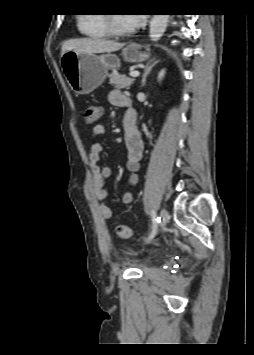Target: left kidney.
Listing matches in <instances>:
<instances>
[{
    "label": "left kidney",
    "instance_id": "5707ae66",
    "mask_svg": "<svg viewBox=\"0 0 254 355\" xmlns=\"http://www.w3.org/2000/svg\"><path fill=\"white\" fill-rule=\"evenodd\" d=\"M165 75V69H162L158 75V81H161Z\"/></svg>",
    "mask_w": 254,
    "mask_h": 355
}]
</instances>
